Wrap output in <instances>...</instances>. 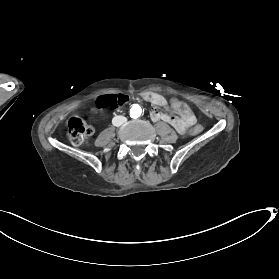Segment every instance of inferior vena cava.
Here are the masks:
<instances>
[{
	"mask_svg": "<svg viewBox=\"0 0 279 279\" xmlns=\"http://www.w3.org/2000/svg\"><path fill=\"white\" fill-rule=\"evenodd\" d=\"M116 116V115H115ZM112 123L114 126H120L127 123V118L123 116H116L113 118Z\"/></svg>",
	"mask_w": 279,
	"mask_h": 279,
	"instance_id": "1",
	"label": "inferior vena cava"
}]
</instances>
